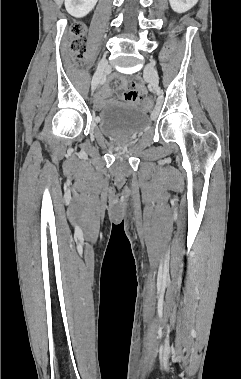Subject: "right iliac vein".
I'll return each mask as SVG.
<instances>
[{
  "instance_id": "1",
  "label": "right iliac vein",
  "mask_w": 241,
  "mask_h": 379,
  "mask_svg": "<svg viewBox=\"0 0 241 379\" xmlns=\"http://www.w3.org/2000/svg\"><path fill=\"white\" fill-rule=\"evenodd\" d=\"M109 70V64L107 62L106 59H102L99 64H98V67H97V70L93 76V79H92V92H94L96 90V88L98 87L102 77H103V74L105 72H107Z\"/></svg>"
}]
</instances>
